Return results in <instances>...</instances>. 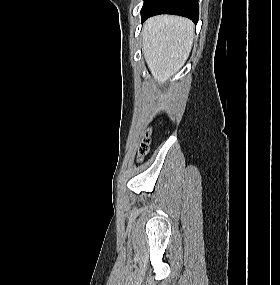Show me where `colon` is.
<instances>
[{
    "mask_svg": "<svg viewBox=\"0 0 280 285\" xmlns=\"http://www.w3.org/2000/svg\"><path fill=\"white\" fill-rule=\"evenodd\" d=\"M149 150V140L146 139L140 147V157H143Z\"/></svg>",
    "mask_w": 280,
    "mask_h": 285,
    "instance_id": "5ec220e1",
    "label": "colon"
}]
</instances>
